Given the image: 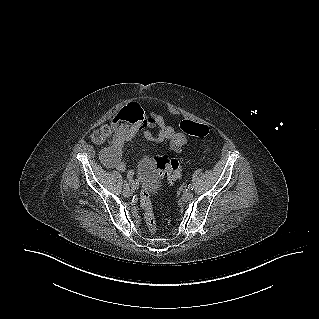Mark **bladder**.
<instances>
[{
	"mask_svg": "<svg viewBox=\"0 0 319 319\" xmlns=\"http://www.w3.org/2000/svg\"><path fill=\"white\" fill-rule=\"evenodd\" d=\"M155 168L156 165L149 157L142 158L137 166V177L143 186L151 189L155 185Z\"/></svg>",
	"mask_w": 319,
	"mask_h": 319,
	"instance_id": "31cf9c89",
	"label": "bladder"
}]
</instances>
